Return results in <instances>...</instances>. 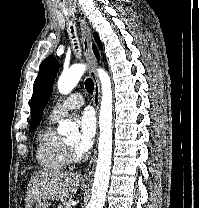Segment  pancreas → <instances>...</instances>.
I'll list each match as a JSON object with an SVG mask.
<instances>
[{
    "mask_svg": "<svg viewBox=\"0 0 199 208\" xmlns=\"http://www.w3.org/2000/svg\"><path fill=\"white\" fill-rule=\"evenodd\" d=\"M58 208H71L70 201H64L62 204L58 206Z\"/></svg>",
    "mask_w": 199,
    "mask_h": 208,
    "instance_id": "obj_1",
    "label": "pancreas"
}]
</instances>
